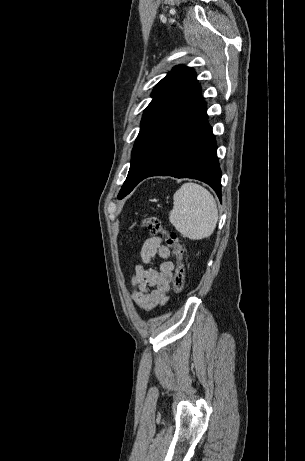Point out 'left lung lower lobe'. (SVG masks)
I'll use <instances>...</instances> for the list:
<instances>
[{"label":"left lung lower lobe","instance_id":"0a47b994","mask_svg":"<svg viewBox=\"0 0 305 461\" xmlns=\"http://www.w3.org/2000/svg\"><path fill=\"white\" fill-rule=\"evenodd\" d=\"M200 89L195 87L156 132L150 165L136 185L150 176L188 177L208 183L221 199L217 145Z\"/></svg>","mask_w":305,"mask_h":461}]
</instances>
